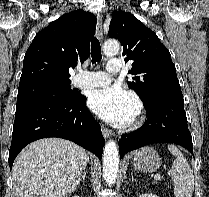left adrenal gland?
<instances>
[{
  "mask_svg": "<svg viewBox=\"0 0 209 197\" xmlns=\"http://www.w3.org/2000/svg\"><path fill=\"white\" fill-rule=\"evenodd\" d=\"M131 177H132V180H134V177H133V175L131 174Z\"/></svg>",
  "mask_w": 209,
  "mask_h": 197,
  "instance_id": "left-adrenal-gland-1",
  "label": "left adrenal gland"
}]
</instances>
